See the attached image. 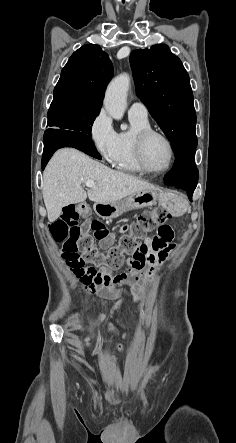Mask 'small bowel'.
Here are the masks:
<instances>
[{
    "label": "small bowel",
    "mask_w": 236,
    "mask_h": 443,
    "mask_svg": "<svg viewBox=\"0 0 236 443\" xmlns=\"http://www.w3.org/2000/svg\"><path fill=\"white\" fill-rule=\"evenodd\" d=\"M106 242L101 241L100 246L105 247ZM146 247L149 250L150 255L144 261V267L135 272L133 278L128 279L124 274L112 277L107 283L101 282L99 280L100 274L108 273L106 269H102L97 272L95 269L86 267L83 269L73 268L66 261V266L72 272V274L78 279L83 290L86 293H97L103 297H112L114 295H120V302L112 307L108 313L99 314L94 320L95 325L102 324L110 316L113 317L123 310L127 309L131 303H136L141 300L142 296L146 292V286L150 283L157 271V269L164 264L167 259L168 253L171 250L169 246V241L164 240L159 233L153 237H148L145 239L144 243L140 244L139 247ZM132 258L127 261V269ZM145 267H148L144 271ZM126 283L129 285L128 289L115 290L114 285ZM130 298V300L128 299ZM118 325L122 329H129L132 327V322L127 319H118ZM111 331L115 335H119V331L115 330L114 327ZM124 337L125 334H122ZM91 345V335L86 333L84 337V348H88ZM121 350V348H119Z\"/></svg>",
    "instance_id": "1"
}]
</instances>
